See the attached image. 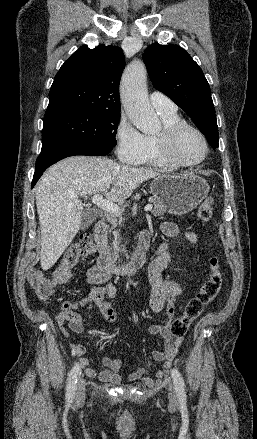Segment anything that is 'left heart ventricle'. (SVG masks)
<instances>
[{
  "label": "left heart ventricle",
  "instance_id": "1",
  "mask_svg": "<svg viewBox=\"0 0 257 439\" xmlns=\"http://www.w3.org/2000/svg\"><path fill=\"white\" fill-rule=\"evenodd\" d=\"M176 156L183 162H195L204 154V145L200 137L191 130L184 131L174 146Z\"/></svg>",
  "mask_w": 257,
  "mask_h": 439
}]
</instances>
